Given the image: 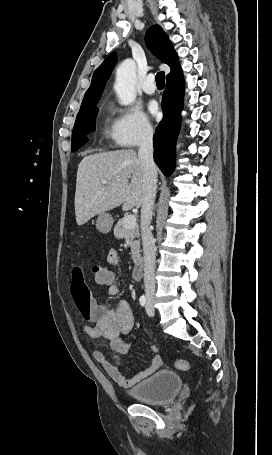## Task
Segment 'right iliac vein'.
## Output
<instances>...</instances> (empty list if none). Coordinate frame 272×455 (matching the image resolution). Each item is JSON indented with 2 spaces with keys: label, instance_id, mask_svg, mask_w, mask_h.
<instances>
[{
  "label": "right iliac vein",
  "instance_id": "obj_1",
  "mask_svg": "<svg viewBox=\"0 0 272 455\" xmlns=\"http://www.w3.org/2000/svg\"><path fill=\"white\" fill-rule=\"evenodd\" d=\"M149 302L153 305V301L150 300Z\"/></svg>",
  "mask_w": 272,
  "mask_h": 455
}]
</instances>
